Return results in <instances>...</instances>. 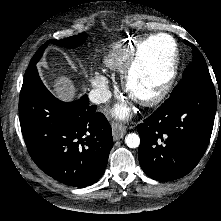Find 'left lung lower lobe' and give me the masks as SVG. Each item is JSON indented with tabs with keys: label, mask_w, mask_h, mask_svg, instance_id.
I'll return each instance as SVG.
<instances>
[{
	"label": "left lung lower lobe",
	"mask_w": 221,
	"mask_h": 221,
	"mask_svg": "<svg viewBox=\"0 0 221 221\" xmlns=\"http://www.w3.org/2000/svg\"><path fill=\"white\" fill-rule=\"evenodd\" d=\"M217 97L213 84L191 82L137 126L139 163L158 181L191 172L204 155L213 129Z\"/></svg>",
	"instance_id": "left-lung-lower-lobe-1"
}]
</instances>
